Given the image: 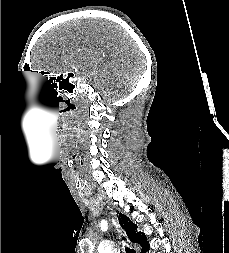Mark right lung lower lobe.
Listing matches in <instances>:
<instances>
[{
	"label": "right lung lower lobe",
	"mask_w": 229,
	"mask_h": 253,
	"mask_svg": "<svg viewBox=\"0 0 229 253\" xmlns=\"http://www.w3.org/2000/svg\"><path fill=\"white\" fill-rule=\"evenodd\" d=\"M149 250V246L147 245L142 251L141 253H145V251H148Z\"/></svg>",
	"instance_id": "1"
}]
</instances>
